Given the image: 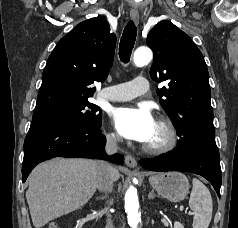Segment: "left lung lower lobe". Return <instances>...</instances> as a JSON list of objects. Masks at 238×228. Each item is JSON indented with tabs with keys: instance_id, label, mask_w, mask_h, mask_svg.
<instances>
[{
	"instance_id": "0a47b994",
	"label": "left lung lower lobe",
	"mask_w": 238,
	"mask_h": 228,
	"mask_svg": "<svg viewBox=\"0 0 238 228\" xmlns=\"http://www.w3.org/2000/svg\"><path fill=\"white\" fill-rule=\"evenodd\" d=\"M140 165L151 171H186L206 178L220 197L221 167L215 138L199 141L194 147L183 152L178 148L153 159L140 160Z\"/></svg>"
}]
</instances>
